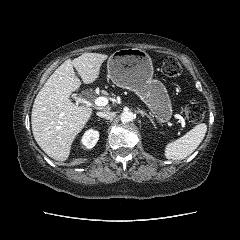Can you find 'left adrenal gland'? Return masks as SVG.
Here are the masks:
<instances>
[{
  "mask_svg": "<svg viewBox=\"0 0 240 240\" xmlns=\"http://www.w3.org/2000/svg\"><path fill=\"white\" fill-rule=\"evenodd\" d=\"M139 113L142 115V117L146 116V117L150 120V122L152 123V125L155 126L154 121H153V118H152L150 115H148L146 112H144V111H142V110H139Z\"/></svg>",
  "mask_w": 240,
  "mask_h": 240,
  "instance_id": "a2214340",
  "label": "left adrenal gland"
}]
</instances>
